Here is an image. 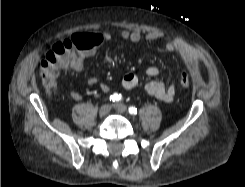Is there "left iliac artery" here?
I'll return each mask as SVG.
<instances>
[{
    "label": "left iliac artery",
    "instance_id": "1",
    "mask_svg": "<svg viewBox=\"0 0 245 187\" xmlns=\"http://www.w3.org/2000/svg\"><path fill=\"white\" fill-rule=\"evenodd\" d=\"M128 111L130 114H134V115L137 114V108L134 106H130Z\"/></svg>",
    "mask_w": 245,
    "mask_h": 187
}]
</instances>
